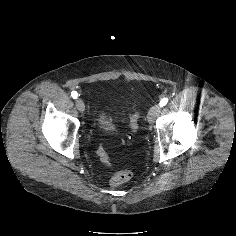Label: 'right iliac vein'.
Segmentation results:
<instances>
[{
  "label": "right iliac vein",
  "mask_w": 236,
  "mask_h": 236,
  "mask_svg": "<svg viewBox=\"0 0 236 236\" xmlns=\"http://www.w3.org/2000/svg\"><path fill=\"white\" fill-rule=\"evenodd\" d=\"M75 104H76V107L77 109L82 113L84 112L85 110V104L83 102L82 99L78 98L76 101H75Z\"/></svg>",
  "instance_id": "right-iliac-vein-1"
}]
</instances>
